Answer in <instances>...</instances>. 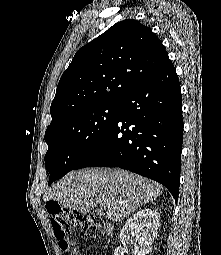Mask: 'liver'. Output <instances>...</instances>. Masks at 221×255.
I'll return each instance as SVG.
<instances>
[{
    "label": "liver",
    "mask_w": 221,
    "mask_h": 255,
    "mask_svg": "<svg viewBox=\"0 0 221 255\" xmlns=\"http://www.w3.org/2000/svg\"><path fill=\"white\" fill-rule=\"evenodd\" d=\"M162 193L160 184L143 176L121 169L91 168L68 173L43 199L82 213L100 204L110 220L121 222Z\"/></svg>",
    "instance_id": "obj_1"
}]
</instances>
